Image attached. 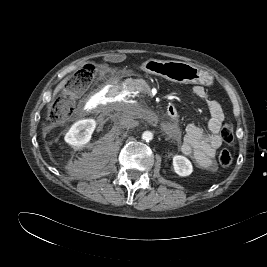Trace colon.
Listing matches in <instances>:
<instances>
[{
  "label": "colon",
  "instance_id": "obj_1",
  "mask_svg": "<svg viewBox=\"0 0 267 267\" xmlns=\"http://www.w3.org/2000/svg\"><path fill=\"white\" fill-rule=\"evenodd\" d=\"M95 75L96 70L92 65H85L75 73L61 95L52 105L48 114L50 122L59 123L71 115L77 98L91 85ZM220 135L225 143L229 144L233 142L234 128L230 121L223 124ZM218 160L222 167H228L231 165L233 157L228 149H223L219 153Z\"/></svg>",
  "mask_w": 267,
  "mask_h": 267
}]
</instances>
